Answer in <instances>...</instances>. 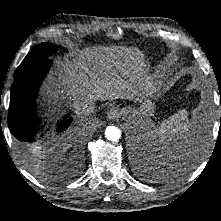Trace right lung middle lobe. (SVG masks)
<instances>
[{
	"instance_id": "right-lung-middle-lobe-1",
	"label": "right lung middle lobe",
	"mask_w": 221,
	"mask_h": 221,
	"mask_svg": "<svg viewBox=\"0 0 221 221\" xmlns=\"http://www.w3.org/2000/svg\"><path fill=\"white\" fill-rule=\"evenodd\" d=\"M57 50V47L49 43H40L36 45L31 52L27 54L18 69L14 73V77L30 68L32 65L48 59L49 56Z\"/></svg>"
}]
</instances>
